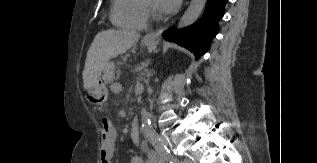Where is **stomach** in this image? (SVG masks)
<instances>
[{
  "label": "stomach",
  "instance_id": "stomach-1",
  "mask_svg": "<svg viewBox=\"0 0 317 163\" xmlns=\"http://www.w3.org/2000/svg\"><path fill=\"white\" fill-rule=\"evenodd\" d=\"M144 45L149 46L150 43L144 42ZM108 99V90L105 83L100 79L97 84L88 90V100L94 105H103Z\"/></svg>",
  "mask_w": 317,
  "mask_h": 163
}]
</instances>
